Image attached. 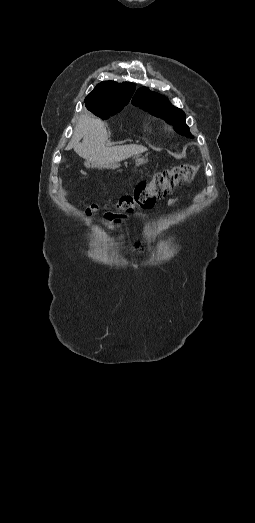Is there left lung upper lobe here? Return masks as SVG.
Listing matches in <instances>:
<instances>
[{"mask_svg": "<svg viewBox=\"0 0 255 523\" xmlns=\"http://www.w3.org/2000/svg\"><path fill=\"white\" fill-rule=\"evenodd\" d=\"M132 103L151 114L161 117L172 124L175 131L183 136L191 138L188 126L185 124V113L173 106L169 100L161 94L151 92L146 87L137 90Z\"/></svg>", "mask_w": 255, "mask_h": 523, "instance_id": "1", "label": "left lung upper lobe"}]
</instances>
